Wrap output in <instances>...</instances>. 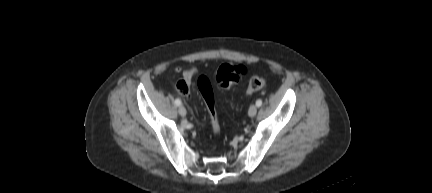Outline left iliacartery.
<instances>
[{
	"label": "left iliac artery",
	"instance_id": "44dca946",
	"mask_svg": "<svg viewBox=\"0 0 432 193\" xmlns=\"http://www.w3.org/2000/svg\"><path fill=\"white\" fill-rule=\"evenodd\" d=\"M262 105V100L261 99H258L257 101H256V106L257 107H260Z\"/></svg>",
	"mask_w": 432,
	"mask_h": 193
}]
</instances>
